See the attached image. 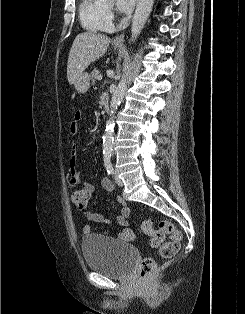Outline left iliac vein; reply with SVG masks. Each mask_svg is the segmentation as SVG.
Here are the masks:
<instances>
[{
  "label": "left iliac vein",
  "instance_id": "obj_1",
  "mask_svg": "<svg viewBox=\"0 0 245 314\" xmlns=\"http://www.w3.org/2000/svg\"><path fill=\"white\" fill-rule=\"evenodd\" d=\"M114 178H115V182L118 186H123V181L119 178V176L117 174H115Z\"/></svg>",
  "mask_w": 245,
  "mask_h": 314
}]
</instances>
